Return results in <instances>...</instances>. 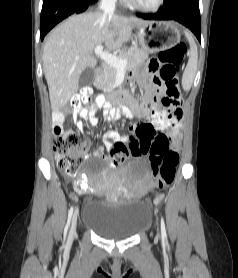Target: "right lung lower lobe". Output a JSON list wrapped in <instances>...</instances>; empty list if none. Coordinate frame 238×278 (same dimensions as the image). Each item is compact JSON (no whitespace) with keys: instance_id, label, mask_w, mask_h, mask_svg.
<instances>
[{"instance_id":"obj_1","label":"right lung lower lobe","mask_w":238,"mask_h":278,"mask_svg":"<svg viewBox=\"0 0 238 278\" xmlns=\"http://www.w3.org/2000/svg\"><path fill=\"white\" fill-rule=\"evenodd\" d=\"M98 0H43L40 19V37L44 36L57 23L74 13L84 12Z\"/></svg>"}]
</instances>
